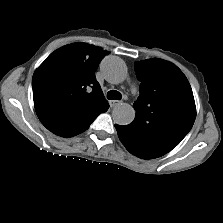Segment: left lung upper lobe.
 I'll use <instances>...</instances> for the list:
<instances>
[{"mask_svg":"<svg viewBox=\"0 0 223 223\" xmlns=\"http://www.w3.org/2000/svg\"><path fill=\"white\" fill-rule=\"evenodd\" d=\"M141 81L134 102V121L122 126L132 145L166 154L191 130L196 108L191 86L181 70L168 61L148 59L134 64Z\"/></svg>","mask_w":223,"mask_h":223,"instance_id":"5c2ea615","label":"left lung upper lobe"}]
</instances>
